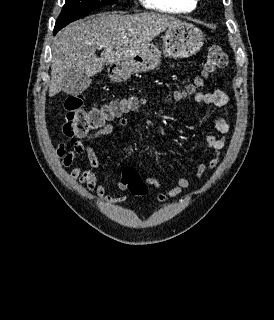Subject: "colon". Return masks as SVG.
I'll return each mask as SVG.
<instances>
[{
  "label": "colon",
  "instance_id": "colon-1",
  "mask_svg": "<svg viewBox=\"0 0 274 320\" xmlns=\"http://www.w3.org/2000/svg\"><path fill=\"white\" fill-rule=\"evenodd\" d=\"M227 64L228 56L221 46L213 45L208 48L205 75L223 70ZM82 105L83 98L80 96H70L64 101L63 134H89L100 130L98 120H111V122L118 120L135 103L124 100L94 109H84ZM121 182L132 194L142 196L147 193V186L135 168H125L121 175Z\"/></svg>",
  "mask_w": 274,
  "mask_h": 320
}]
</instances>
